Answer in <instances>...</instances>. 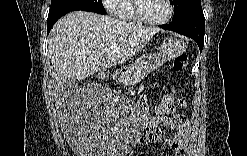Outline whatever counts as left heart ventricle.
Listing matches in <instances>:
<instances>
[{
	"instance_id": "obj_1",
	"label": "left heart ventricle",
	"mask_w": 247,
	"mask_h": 156,
	"mask_svg": "<svg viewBox=\"0 0 247 156\" xmlns=\"http://www.w3.org/2000/svg\"><path fill=\"white\" fill-rule=\"evenodd\" d=\"M140 13L147 18L161 19L168 13V8L163 0L141 1Z\"/></svg>"
}]
</instances>
